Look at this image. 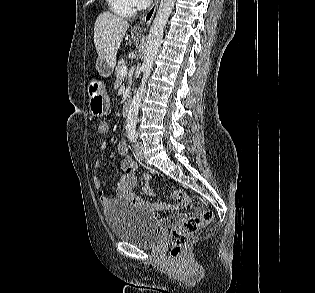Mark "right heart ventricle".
I'll return each mask as SVG.
<instances>
[{"label": "right heart ventricle", "mask_w": 315, "mask_h": 293, "mask_svg": "<svg viewBox=\"0 0 315 293\" xmlns=\"http://www.w3.org/2000/svg\"><path fill=\"white\" fill-rule=\"evenodd\" d=\"M109 9L117 16L130 18L135 13L131 0H106Z\"/></svg>", "instance_id": "e07e8e85"}]
</instances>
